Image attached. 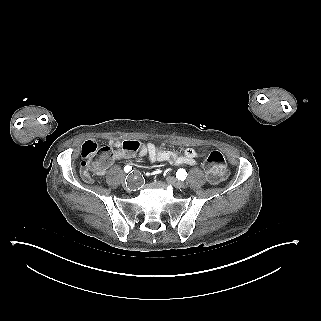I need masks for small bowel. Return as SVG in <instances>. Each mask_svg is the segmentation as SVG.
I'll return each mask as SVG.
<instances>
[{
    "label": "small bowel",
    "mask_w": 321,
    "mask_h": 321,
    "mask_svg": "<svg viewBox=\"0 0 321 321\" xmlns=\"http://www.w3.org/2000/svg\"><path fill=\"white\" fill-rule=\"evenodd\" d=\"M98 142L95 139H89L84 142L82 146V153L87 150H97ZM102 154L106 156V159L101 163L97 171L93 176L105 175L107 169L116 161L124 158H129L132 154H129L122 150V144L118 140L110 139L107 145L102 147L100 150ZM138 155L145 157L149 162L159 161L167 162L176 166L182 165H196L197 160L202 157L200 152H197L193 148H186L181 151H168L164 150L159 145L149 143L143 146ZM84 178V177H83ZM85 180H90L84 178Z\"/></svg>",
    "instance_id": "1"
}]
</instances>
